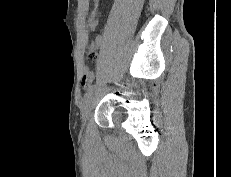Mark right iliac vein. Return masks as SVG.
Here are the masks:
<instances>
[{"instance_id": "right-iliac-vein-1", "label": "right iliac vein", "mask_w": 231, "mask_h": 177, "mask_svg": "<svg viewBox=\"0 0 231 177\" xmlns=\"http://www.w3.org/2000/svg\"><path fill=\"white\" fill-rule=\"evenodd\" d=\"M92 104H93V94L91 93L85 98L82 108H81V118H82L83 125H85L88 119L89 113L92 108Z\"/></svg>"}]
</instances>
